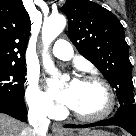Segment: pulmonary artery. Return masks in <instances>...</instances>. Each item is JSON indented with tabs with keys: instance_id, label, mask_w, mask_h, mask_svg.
Returning <instances> with one entry per match:
<instances>
[{
	"instance_id": "obj_1",
	"label": "pulmonary artery",
	"mask_w": 136,
	"mask_h": 136,
	"mask_svg": "<svg viewBox=\"0 0 136 136\" xmlns=\"http://www.w3.org/2000/svg\"><path fill=\"white\" fill-rule=\"evenodd\" d=\"M52 53L59 59L69 60L73 56V49L68 41L59 39L55 42Z\"/></svg>"
}]
</instances>
